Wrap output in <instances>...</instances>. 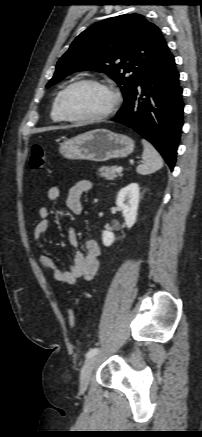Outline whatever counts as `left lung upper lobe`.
<instances>
[{
	"label": "left lung upper lobe",
	"instance_id": "left-lung-upper-lobe-1",
	"mask_svg": "<svg viewBox=\"0 0 202 437\" xmlns=\"http://www.w3.org/2000/svg\"><path fill=\"white\" fill-rule=\"evenodd\" d=\"M168 49L160 29L139 14L100 21L83 31L57 63L50 87L75 71L107 73L128 100Z\"/></svg>",
	"mask_w": 202,
	"mask_h": 437
}]
</instances>
